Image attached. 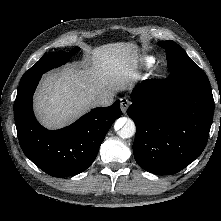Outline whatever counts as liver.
I'll list each match as a JSON object with an SVG mask.
<instances>
[{
	"instance_id": "liver-1",
	"label": "liver",
	"mask_w": 221,
	"mask_h": 221,
	"mask_svg": "<svg viewBox=\"0 0 221 221\" xmlns=\"http://www.w3.org/2000/svg\"><path fill=\"white\" fill-rule=\"evenodd\" d=\"M136 48L133 43L102 45L92 50L90 67H66L46 75L34 98L39 121L60 128L96 106L95 98L131 88L137 77Z\"/></svg>"
}]
</instances>
